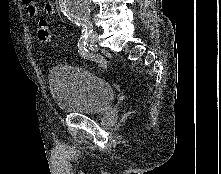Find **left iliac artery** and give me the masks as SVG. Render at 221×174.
Here are the masks:
<instances>
[{"instance_id": "left-iliac-artery-1", "label": "left iliac artery", "mask_w": 221, "mask_h": 174, "mask_svg": "<svg viewBox=\"0 0 221 174\" xmlns=\"http://www.w3.org/2000/svg\"><path fill=\"white\" fill-rule=\"evenodd\" d=\"M78 25H81L84 28L83 34L78 42L79 54L88 60L98 63L102 68L106 69L107 68L106 59L99 54H96L94 52H90L87 50L86 40H87L88 36L93 32L92 23L90 22L89 19L83 18L78 22Z\"/></svg>"}]
</instances>
